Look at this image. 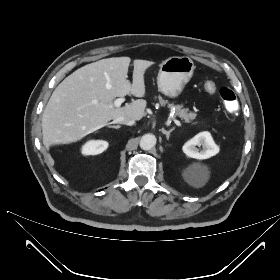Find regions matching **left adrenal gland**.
I'll list each match as a JSON object with an SVG mask.
<instances>
[{
  "label": "left adrenal gland",
  "instance_id": "left-adrenal-gland-1",
  "mask_svg": "<svg viewBox=\"0 0 280 280\" xmlns=\"http://www.w3.org/2000/svg\"><path fill=\"white\" fill-rule=\"evenodd\" d=\"M175 128L170 129L169 131H166L165 129H162V133L166 135L167 140H169L170 133L174 130Z\"/></svg>",
  "mask_w": 280,
  "mask_h": 280
}]
</instances>
